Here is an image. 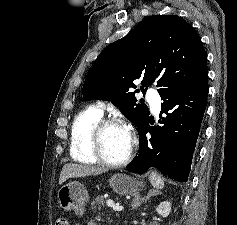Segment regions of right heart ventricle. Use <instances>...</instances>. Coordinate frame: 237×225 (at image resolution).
<instances>
[{
  "label": "right heart ventricle",
  "instance_id": "e07e8e85",
  "mask_svg": "<svg viewBox=\"0 0 237 225\" xmlns=\"http://www.w3.org/2000/svg\"><path fill=\"white\" fill-rule=\"evenodd\" d=\"M102 116V110L98 106H88L74 118L71 127L70 155L75 161L85 164L98 162L91 149L90 133Z\"/></svg>",
  "mask_w": 237,
  "mask_h": 225
}]
</instances>
